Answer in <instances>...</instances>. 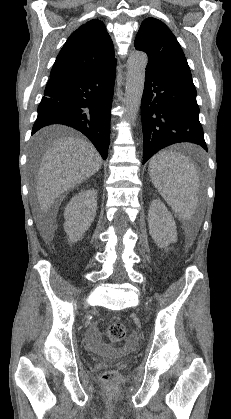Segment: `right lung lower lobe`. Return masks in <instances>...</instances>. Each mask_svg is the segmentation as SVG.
Segmentation results:
<instances>
[{"label":"right lung lower lobe","mask_w":231,"mask_h":419,"mask_svg":"<svg viewBox=\"0 0 231 419\" xmlns=\"http://www.w3.org/2000/svg\"><path fill=\"white\" fill-rule=\"evenodd\" d=\"M116 64L99 72L50 77L32 134L52 124H65L87 136L107 158Z\"/></svg>","instance_id":"1"}]
</instances>
